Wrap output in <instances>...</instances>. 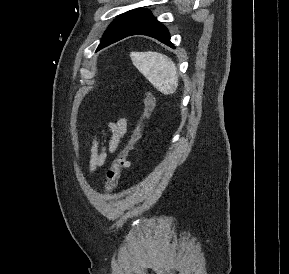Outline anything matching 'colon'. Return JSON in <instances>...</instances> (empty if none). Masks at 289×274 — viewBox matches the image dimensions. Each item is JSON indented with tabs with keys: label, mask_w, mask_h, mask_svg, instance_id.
Wrapping results in <instances>:
<instances>
[{
	"label": "colon",
	"mask_w": 289,
	"mask_h": 274,
	"mask_svg": "<svg viewBox=\"0 0 289 274\" xmlns=\"http://www.w3.org/2000/svg\"><path fill=\"white\" fill-rule=\"evenodd\" d=\"M155 97L150 91H146L144 94V108L143 112L131 134L125 147L114 157L111 166L109 167L106 175L105 191L111 192L117 186L122 171L128 167V155L134 148L136 142L141 136L142 129L145 121L151 116L155 108Z\"/></svg>",
	"instance_id": "obj_1"
}]
</instances>
